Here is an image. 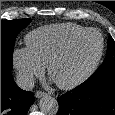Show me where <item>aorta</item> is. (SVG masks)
I'll return each mask as SVG.
<instances>
[{
    "label": "aorta",
    "instance_id": "1",
    "mask_svg": "<svg viewBox=\"0 0 115 115\" xmlns=\"http://www.w3.org/2000/svg\"><path fill=\"white\" fill-rule=\"evenodd\" d=\"M39 108L46 115H56L59 105L54 97L45 95L39 101Z\"/></svg>",
    "mask_w": 115,
    "mask_h": 115
}]
</instances>
